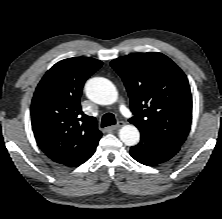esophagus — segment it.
Listing matches in <instances>:
<instances>
[{"label": "esophagus", "instance_id": "1", "mask_svg": "<svg viewBox=\"0 0 222 219\" xmlns=\"http://www.w3.org/2000/svg\"><path fill=\"white\" fill-rule=\"evenodd\" d=\"M123 125H124V122H123V121H119L116 125H113V126L111 127V129H112V130H116V129L122 127Z\"/></svg>", "mask_w": 222, "mask_h": 219}]
</instances>
